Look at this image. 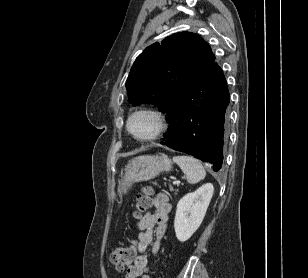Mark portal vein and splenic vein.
<instances>
[{
  "instance_id": "obj_1",
  "label": "portal vein and splenic vein",
  "mask_w": 308,
  "mask_h": 278,
  "mask_svg": "<svg viewBox=\"0 0 308 278\" xmlns=\"http://www.w3.org/2000/svg\"><path fill=\"white\" fill-rule=\"evenodd\" d=\"M179 183H180L179 180H176V181L173 182V184H177V185H178Z\"/></svg>"
}]
</instances>
